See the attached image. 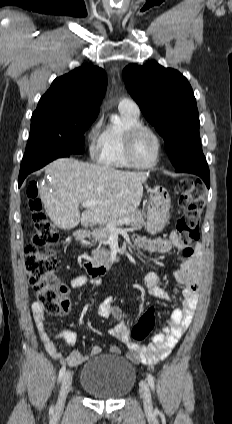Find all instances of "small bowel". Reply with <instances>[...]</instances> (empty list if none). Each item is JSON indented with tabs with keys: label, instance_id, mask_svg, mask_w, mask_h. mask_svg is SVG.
Here are the masks:
<instances>
[{
	"label": "small bowel",
	"instance_id": "obj_1",
	"mask_svg": "<svg viewBox=\"0 0 232 424\" xmlns=\"http://www.w3.org/2000/svg\"><path fill=\"white\" fill-rule=\"evenodd\" d=\"M134 243L137 247L155 253H169L173 248L180 247L179 237L173 233L168 238H147L135 235ZM201 257L202 252L197 248L195 256L185 257L181 266L175 271L176 280L184 286L182 291L181 307L175 309L169 320V327H166L161 333L153 336L151 342L147 346H140L130 339L128 323L123 319L122 311L113 304L112 297L105 298L99 308L98 314L103 318H113L116 324L111 329V335L124 343L128 348L127 357L133 363H143L148 366H154L159 361L165 359L172 349L177 345L183 334L192 322L194 311L198 303L199 281L201 278ZM162 276L155 271H149L143 276V286L146 292L154 297L172 299L169 291L162 287ZM101 280L96 277L89 276L85 273H77L71 279L69 285L61 284V296L65 305L64 314L71 313V304L67 299L70 289H78L87 285H100ZM34 320L36 323L39 336L49 354L53 357L61 359L56 345L45 327V311L37 303L32 305ZM57 337L63 340L67 345H73L76 340L75 332L67 329L60 330ZM101 348L93 345L89 354L72 351L66 358L69 365H80L89 357L100 354ZM111 354H118L120 349L116 345L109 347Z\"/></svg>",
	"mask_w": 232,
	"mask_h": 424
}]
</instances>
